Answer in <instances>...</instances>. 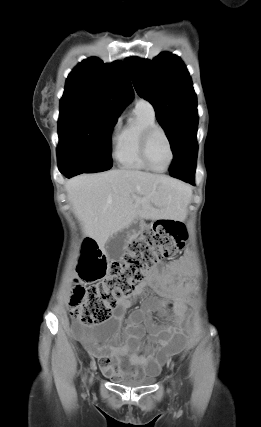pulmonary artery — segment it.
<instances>
[{"instance_id": "obj_1", "label": "pulmonary artery", "mask_w": 261, "mask_h": 427, "mask_svg": "<svg viewBox=\"0 0 261 427\" xmlns=\"http://www.w3.org/2000/svg\"><path fill=\"white\" fill-rule=\"evenodd\" d=\"M136 108L143 109L150 114H155L152 104L145 99H139L136 103Z\"/></svg>"}]
</instances>
